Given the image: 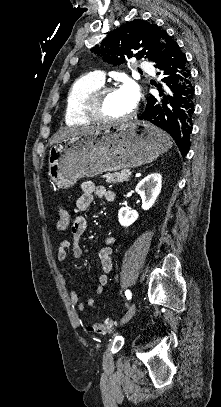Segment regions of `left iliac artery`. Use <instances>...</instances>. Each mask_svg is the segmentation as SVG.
Listing matches in <instances>:
<instances>
[{
	"label": "left iliac artery",
	"mask_w": 221,
	"mask_h": 407,
	"mask_svg": "<svg viewBox=\"0 0 221 407\" xmlns=\"http://www.w3.org/2000/svg\"><path fill=\"white\" fill-rule=\"evenodd\" d=\"M125 295H126L128 300H130L132 298V293L130 292V290H126Z\"/></svg>",
	"instance_id": "left-iliac-artery-1"
}]
</instances>
